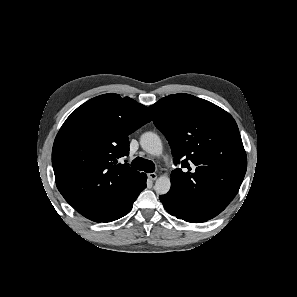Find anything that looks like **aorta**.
Wrapping results in <instances>:
<instances>
[{
  "label": "aorta",
  "mask_w": 297,
  "mask_h": 297,
  "mask_svg": "<svg viewBox=\"0 0 297 297\" xmlns=\"http://www.w3.org/2000/svg\"><path fill=\"white\" fill-rule=\"evenodd\" d=\"M140 145L143 150L151 155L159 156L162 154L163 146L160 137L153 132H146L141 135ZM171 181L169 176H160L154 185V190L158 195H164L169 192Z\"/></svg>",
  "instance_id": "1"
}]
</instances>
